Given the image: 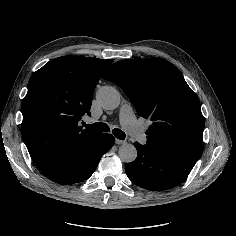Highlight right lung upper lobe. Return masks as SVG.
<instances>
[{"label":"right lung upper lobe","mask_w":236,"mask_h":236,"mask_svg":"<svg viewBox=\"0 0 236 236\" xmlns=\"http://www.w3.org/2000/svg\"><path fill=\"white\" fill-rule=\"evenodd\" d=\"M112 62L64 56L31 76L22 101L21 130L33 162L44 175L54 170L71 147L97 133L83 130L78 122L90 115L96 84Z\"/></svg>","instance_id":"obj_1"}]
</instances>
